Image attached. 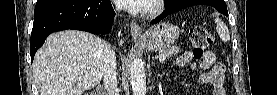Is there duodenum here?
I'll return each mask as SVG.
<instances>
[{
    "label": "duodenum",
    "instance_id": "obj_1",
    "mask_svg": "<svg viewBox=\"0 0 277 95\" xmlns=\"http://www.w3.org/2000/svg\"><path fill=\"white\" fill-rule=\"evenodd\" d=\"M101 92H102V90H101V89H99V94H101Z\"/></svg>",
    "mask_w": 277,
    "mask_h": 95
}]
</instances>
